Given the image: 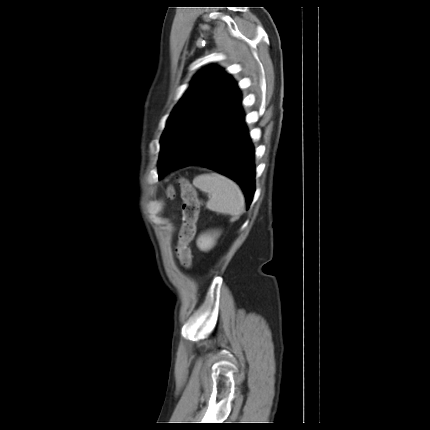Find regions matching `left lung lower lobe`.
<instances>
[{"label": "left lung lower lobe", "instance_id": "0a47b994", "mask_svg": "<svg viewBox=\"0 0 430 430\" xmlns=\"http://www.w3.org/2000/svg\"><path fill=\"white\" fill-rule=\"evenodd\" d=\"M191 165L210 168L236 181L249 206L254 194V147L243 115H209L201 119L187 141L159 167V178Z\"/></svg>", "mask_w": 430, "mask_h": 430}]
</instances>
